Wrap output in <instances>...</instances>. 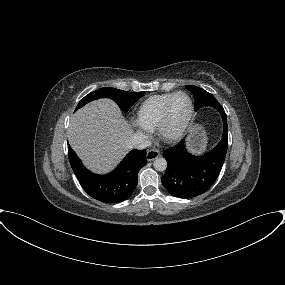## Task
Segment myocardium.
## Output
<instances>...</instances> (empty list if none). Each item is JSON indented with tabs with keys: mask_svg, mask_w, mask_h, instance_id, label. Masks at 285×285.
Listing matches in <instances>:
<instances>
[{
	"mask_svg": "<svg viewBox=\"0 0 285 285\" xmlns=\"http://www.w3.org/2000/svg\"><path fill=\"white\" fill-rule=\"evenodd\" d=\"M179 95H184L188 98L189 103H190V112H189V115H188L185 123L183 124V126L181 128H179L178 130L171 132L168 129L170 107H171L173 100ZM194 115H195V107H194V103H193V100L190 97V95L184 91L175 92L166 102V104L163 108V112L161 115L160 122H159L158 127H157V132H158V135L161 138V140H163L166 143H176V142L180 141L187 134L188 130L190 129L192 122H193V119H194Z\"/></svg>",
	"mask_w": 285,
	"mask_h": 285,
	"instance_id": "obj_1",
	"label": "myocardium"
}]
</instances>
